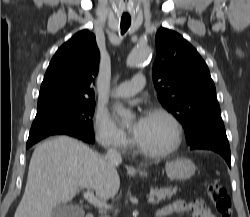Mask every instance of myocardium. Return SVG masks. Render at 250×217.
<instances>
[{
    "mask_svg": "<svg viewBox=\"0 0 250 217\" xmlns=\"http://www.w3.org/2000/svg\"><path fill=\"white\" fill-rule=\"evenodd\" d=\"M150 114L161 116L169 122V124L172 127V132H173L172 141H171L169 146H167L166 148H164L162 150H157V151L148 150V149L140 146L138 143H136L137 150L141 154H143L147 157H151V158L166 157V156L172 154L173 152H175L178 149V147L180 146L181 141H182V135H183L182 125H181L180 121L176 118V116L174 114H172L166 108L159 107V106L154 107L150 110Z\"/></svg>",
    "mask_w": 250,
    "mask_h": 217,
    "instance_id": "obj_1",
    "label": "myocardium"
}]
</instances>
